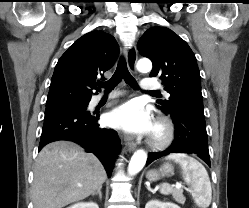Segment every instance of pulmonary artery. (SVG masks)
<instances>
[{
	"label": "pulmonary artery",
	"instance_id": "obj_1",
	"mask_svg": "<svg viewBox=\"0 0 249 208\" xmlns=\"http://www.w3.org/2000/svg\"><path fill=\"white\" fill-rule=\"evenodd\" d=\"M160 87H161L160 84L157 81H155L154 79L144 78L140 82V88H141V90L144 91V92H147V93L148 92H153V91L159 89ZM165 95L167 96L168 94L165 92ZM110 97H113V95L110 96ZM101 99H102V96H97L93 100V102L97 103Z\"/></svg>",
	"mask_w": 249,
	"mask_h": 208
}]
</instances>
